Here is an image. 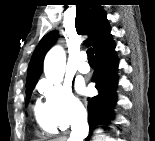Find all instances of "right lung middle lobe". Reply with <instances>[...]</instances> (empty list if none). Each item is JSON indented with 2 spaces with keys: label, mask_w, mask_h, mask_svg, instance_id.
Masks as SVG:
<instances>
[{
  "label": "right lung middle lobe",
  "mask_w": 155,
  "mask_h": 141,
  "mask_svg": "<svg viewBox=\"0 0 155 141\" xmlns=\"http://www.w3.org/2000/svg\"><path fill=\"white\" fill-rule=\"evenodd\" d=\"M34 86H35V84L26 86V88H27L26 89V104H28V102H29V99H30V96H31Z\"/></svg>",
  "instance_id": "right-lung-middle-lobe-1"
}]
</instances>
